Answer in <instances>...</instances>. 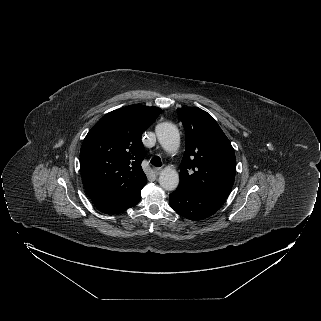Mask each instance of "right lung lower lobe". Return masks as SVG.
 Here are the masks:
<instances>
[{"label":"right lung lower lobe","mask_w":321,"mask_h":321,"mask_svg":"<svg viewBox=\"0 0 321 321\" xmlns=\"http://www.w3.org/2000/svg\"><path fill=\"white\" fill-rule=\"evenodd\" d=\"M123 212V211H122ZM104 213H107V214H118L120 212H104Z\"/></svg>","instance_id":"obj_1"}]
</instances>
